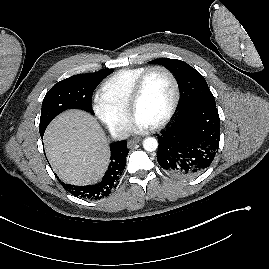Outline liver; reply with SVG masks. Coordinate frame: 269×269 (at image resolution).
<instances>
[{
  "mask_svg": "<svg viewBox=\"0 0 269 269\" xmlns=\"http://www.w3.org/2000/svg\"><path fill=\"white\" fill-rule=\"evenodd\" d=\"M47 157L64 182H95L109 163L107 138L98 122L81 110L59 115L44 134Z\"/></svg>",
  "mask_w": 269,
  "mask_h": 269,
  "instance_id": "1",
  "label": "liver"
}]
</instances>
